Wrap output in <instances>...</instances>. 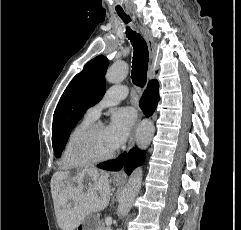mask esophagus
Instances as JSON below:
<instances>
[{
	"label": "esophagus",
	"mask_w": 241,
	"mask_h": 230,
	"mask_svg": "<svg viewBox=\"0 0 241 230\" xmlns=\"http://www.w3.org/2000/svg\"><path fill=\"white\" fill-rule=\"evenodd\" d=\"M142 34H143V36H144V38L147 42L150 59H153L155 57V54H156L154 41L151 38V36L143 30H142ZM141 119H142V114L139 115L136 127L140 124ZM136 127L134 128V130H133V132L130 136V139H129V142H128V150H130L134 146ZM123 174H124V172L122 170L115 173L116 176H122Z\"/></svg>",
	"instance_id": "1"
}]
</instances>
